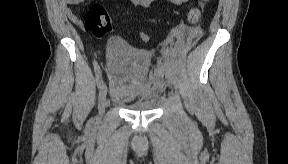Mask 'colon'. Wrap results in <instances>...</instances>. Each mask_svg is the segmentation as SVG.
<instances>
[{
  "mask_svg": "<svg viewBox=\"0 0 288 164\" xmlns=\"http://www.w3.org/2000/svg\"><path fill=\"white\" fill-rule=\"evenodd\" d=\"M202 7H194L188 12L191 22L197 23L201 14ZM85 27L97 38L109 35L112 32L110 15L101 4H93L86 15ZM146 40L145 37H142Z\"/></svg>",
  "mask_w": 288,
  "mask_h": 164,
  "instance_id": "1",
  "label": "colon"
}]
</instances>
